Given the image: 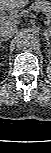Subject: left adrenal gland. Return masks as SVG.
<instances>
[{
  "instance_id": "a2214340",
  "label": "left adrenal gland",
  "mask_w": 51,
  "mask_h": 153,
  "mask_svg": "<svg viewBox=\"0 0 51 153\" xmlns=\"http://www.w3.org/2000/svg\"><path fill=\"white\" fill-rule=\"evenodd\" d=\"M45 39L47 40L48 45H50L49 38L46 36Z\"/></svg>"
}]
</instances>
